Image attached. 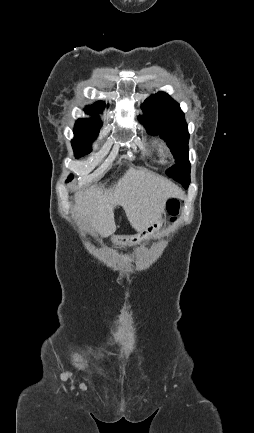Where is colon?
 Here are the masks:
<instances>
[{"instance_id": "obj_1", "label": "colon", "mask_w": 254, "mask_h": 433, "mask_svg": "<svg viewBox=\"0 0 254 433\" xmlns=\"http://www.w3.org/2000/svg\"><path fill=\"white\" fill-rule=\"evenodd\" d=\"M180 209V201L176 198L169 199L167 202V210L171 216V220L174 221L176 215L178 214Z\"/></svg>"}]
</instances>
